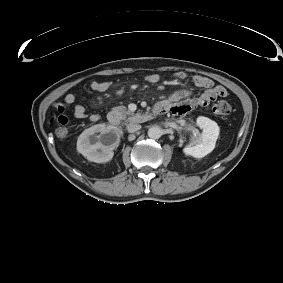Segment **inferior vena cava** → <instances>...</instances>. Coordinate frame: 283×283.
<instances>
[{"label": "inferior vena cava", "instance_id": "obj_1", "mask_svg": "<svg viewBox=\"0 0 283 283\" xmlns=\"http://www.w3.org/2000/svg\"><path fill=\"white\" fill-rule=\"evenodd\" d=\"M140 129H141V125H139V124L129 123L127 125V130H128L129 133H134V132H136Z\"/></svg>", "mask_w": 283, "mask_h": 283}]
</instances>
